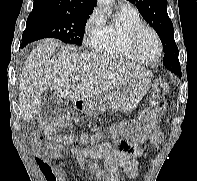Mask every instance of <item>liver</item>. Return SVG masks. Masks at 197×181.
<instances>
[{
	"mask_svg": "<svg viewBox=\"0 0 197 181\" xmlns=\"http://www.w3.org/2000/svg\"><path fill=\"white\" fill-rule=\"evenodd\" d=\"M59 47L56 39L41 40L22 69L19 105L24 121H30L41 110L43 94L49 90L59 98L85 100L152 75L139 65L75 46H66L52 57ZM75 75L85 80L71 84Z\"/></svg>",
	"mask_w": 197,
	"mask_h": 181,
	"instance_id": "obj_1",
	"label": "liver"
}]
</instances>
